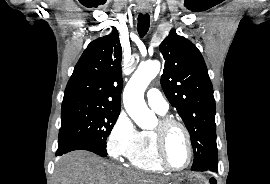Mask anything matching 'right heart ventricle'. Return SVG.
<instances>
[{
	"instance_id": "e07e8e85",
	"label": "right heart ventricle",
	"mask_w": 270,
	"mask_h": 184,
	"mask_svg": "<svg viewBox=\"0 0 270 184\" xmlns=\"http://www.w3.org/2000/svg\"><path fill=\"white\" fill-rule=\"evenodd\" d=\"M127 159L129 164L137 169L150 172H163L165 170L158 160L151 131L140 132L136 146Z\"/></svg>"
}]
</instances>
